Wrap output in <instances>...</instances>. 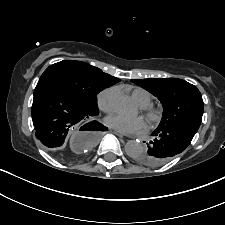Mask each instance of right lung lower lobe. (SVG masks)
<instances>
[{
    "instance_id": "obj_1",
    "label": "right lung lower lobe",
    "mask_w": 225,
    "mask_h": 225,
    "mask_svg": "<svg viewBox=\"0 0 225 225\" xmlns=\"http://www.w3.org/2000/svg\"><path fill=\"white\" fill-rule=\"evenodd\" d=\"M98 113L86 109L66 91L49 81H39L34 90L32 120L36 138L49 149L60 148L69 132ZM91 130L107 128L96 121ZM89 124V123H88ZM71 159V157H68Z\"/></svg>"
}]
</instances>
